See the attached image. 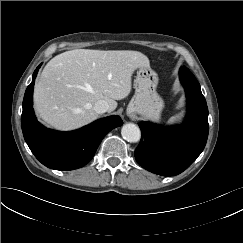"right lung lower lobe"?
<instances>
[{"label":"right lung lower lobe","mask_w":243,"mask_h":243,"mask_svg":"<svg viewBox=\"0 0 243 243\" xmlns=\"http://www.w3.org/2000/svg\"><path fill=\"white\" fill-rule=\"evenodd\" d=\"M39 67L34 71L23 99L21 125L24 139L35 157L48 168H81L92 159L106 134L123 122L119 116H110L71 132L45 128L37 121L32 106L34 79Z\"/></svg>","instance_id":"98d812e1"}]
</instances>
